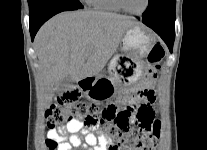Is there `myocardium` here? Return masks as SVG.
Here are the masks:
<instances>
[{"label":"myocardium","mask_w":207,"mask_h":150,"mask_svg":"<svg viewBox=\"0 0 207 150\" xmlns=\"http://www.w3.org/2000/svg\"><path fill=\"white\" fill-rule=\"evenodd\" d=\"M115 1H116V3L118 4V6L122 9V11H125V12H127V13H129V14L136 15V16L142 15L144 12H146V10H147L148 7H149V3H150V0H146L145 6H144V8H143L141 11L133 12V11L129 10V9L125 6L123 0H115Z\"/></svg>","instance_id":"1"}]
</instances>
